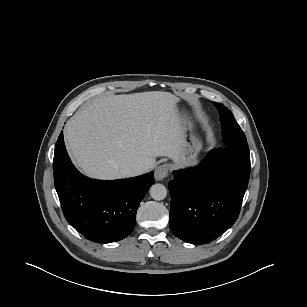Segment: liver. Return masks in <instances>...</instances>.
<instances>
[{"mask_svg": "<svg viewBox=\"0 0 307 307\" xmlns=\"http://www.w3.org/2000/svg\"><path fill=\"white\" fill-rule=\"evenodd\" d=\"M178 102L161 91L89 101L64 130L74 163L87 176L104 180L124 178V170L134 166L150 171L160 156L180 163L186 143Z\"/></svg>", "mask_w": 307, "mask_h": 307, "instance_id": "obj_1", "label": "liver"}]
</instances>
